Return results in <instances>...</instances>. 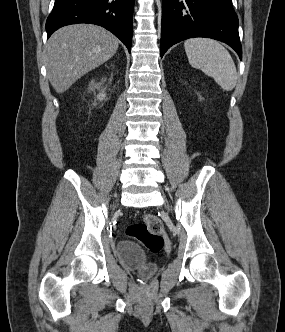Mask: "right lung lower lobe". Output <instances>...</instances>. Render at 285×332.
I'll list each match as a JSON object with an SVG mask.
<instances>
[{"mask_svg":"<svg viewBox=\"0 0 285 332\" xmlns=\"http://www.w3.org/2000/svg\"><path fill=\"white\" fill-rule=\"evenodd\" d=\"M135 0H55L47 18V38L69 24L92 23L115 34L128 48L132 43L133 8Z\"/></svg>","mask_w":285,"mask_h":332,"instance_id":"98d812e1","label":"right lung lower lobe"}]
</instances>
